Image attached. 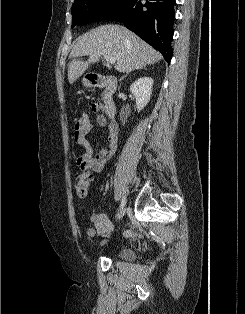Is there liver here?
Returning <instances> with one entry per match:
<instances>
[{"label":"liver","mask_w":245,"mask_h":314,"mask_svg":"<svg viewBox=\"0 0 245 314\" xmlns=\"http://www.w3.org/2000/svg\"><path fill=\"white\" fill-rule=\"evenodd\" d=\"M88 55L86 62L73 60L68 65V80L73 84L91 64L103 55L116 58L115 69L129 73L159 62L162 55L124 26L101 25L84 34L74 45L70 58Z\"/></svg>","instance_id":"obj_1"}]
</instances>
